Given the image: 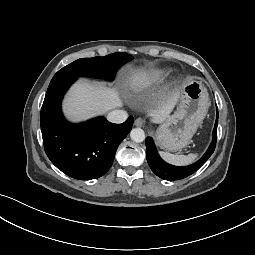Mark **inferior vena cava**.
<instances>
[{"label": "inferior vena cava", "instance_id": "1", "mask_svg": "<svg viewBox=\"0 0 255 255\" xmlns=\"http://www.w3.org/2000/svg\"><path fill=\"white\" fill-rule=\"evenodd\" d=\"M128 118V114L124 110H113L107 115L108 121L112 123H123Z\"/></svg>", "mask_w": 255, "mask_h": 255}]
</instances>
